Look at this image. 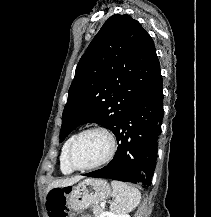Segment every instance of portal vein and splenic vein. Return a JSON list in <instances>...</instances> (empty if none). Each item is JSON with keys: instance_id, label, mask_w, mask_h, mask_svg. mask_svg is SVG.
Instances as JSON below:
<instances>
[{"instance_id": "18ae733b", "label": "portal vein and splenic vein", "mask_w": 211, "mask_h": 217, "mask_svg": "<svg viewBox=\"0 0 211 217\" xmlns=\"http://www.w3.org/2000/svg\"><path fill=\"white\" fill-rule=\"evenodd\" d=\"M101 207H103V208H104V207H105V203H101Z\"/></svg>"}]
</instances>
